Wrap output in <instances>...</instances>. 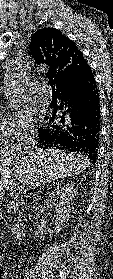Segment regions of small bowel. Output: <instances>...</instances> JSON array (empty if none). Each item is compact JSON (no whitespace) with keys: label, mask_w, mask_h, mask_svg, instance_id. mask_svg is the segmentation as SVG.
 <instances>
[{"label":"small bowel","mask_w":113,"mask_h":279,"mask_svg":"<svg viewBox=\"0 0 113 279\" xmlns=\"http://www.w3.org/2000/svg\"><path fill=\"white\" fill-rule=\"evenodd\" d=\"M0 279H8V270L6 268H1Z\"/></svg>","instance_id":"obj_1"}]
</instances>
